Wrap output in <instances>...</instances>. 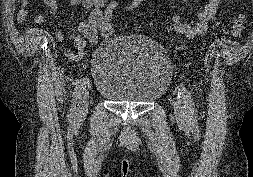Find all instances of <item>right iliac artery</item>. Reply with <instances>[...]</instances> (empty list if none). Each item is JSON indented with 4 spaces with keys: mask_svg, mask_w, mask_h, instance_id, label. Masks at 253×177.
I'll use <instances>...</instances> for the list:
<instances>
[{
    "mask_svg": "<svg viewBox=\"0 0 253 177\" xmlns=\"http://www.w3.org/2000/svg\"><path fill=\"white\" fill-rule=\"evenodd\" d=\"M86 83L87 80L86 78L80 79L77 83L76 86L74 88V92H73V104H72V108H71V115L72 117L75 116L76 114V101L79 98V96L81 95V93L84 92L85 88H86Z\"/></svg>",
    "mask_w": 253,
    "mask_h": 177,
    "instance_id": "obj_1",
    "label": "right iliac artery"
}]
</instances>
